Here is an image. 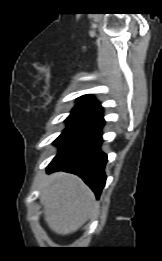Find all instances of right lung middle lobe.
<instances>
[{"label": "right lung middle lobe", "instance_id": "dd1d6c3e", "mask_svg": "<svg viewBox=\"0 0 162 261\" xmlns=\"http://www.w3.org/2000/svg\"><path fill=\"white\" fill-rule=\"evenodd\" d=\"M101 109L102 108L98 102L81 97L78 100V104L73 109L71 115L66 119L67 125L69 126L89 115L100 111Z\"/></svg>", "mask_w": 162, "mask_h": 261}]
</instances>
